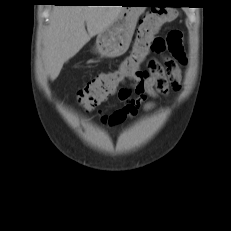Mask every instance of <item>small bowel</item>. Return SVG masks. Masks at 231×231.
<instances>
[{
    "label": "small bowel",
    "mask_w": 231,
    "mask_h": 231,
    "mask_svg": "<svg viewBox=\"0 0 231 231\" xmlns=\"http://www.w3.org/2000/svg\"><path fill=\"white\" fill-rule=\"evenodd\" d=\"M170 56L163 63L152 59L145 71V78L141 81H132L129 86L121 87L117 93L122 107L110 115L102 114V124L116 126L128 118L137 115L139 109L152 110L154 102L148 98H156L166 94L170 89L177 92L181 88L180 66L187 64V58L182 46V33L172 30L164 39Z\"/></svg>",
    "instance_id": "obj_1"
}]
</instances>
